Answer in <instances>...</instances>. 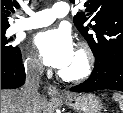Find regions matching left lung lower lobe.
<instances>
[{"label":"left lung lower lobe","instance_id":"1","mask_svg":"<svg viewBox=\"0 0 123 113\" xmlns=\"http://www.w3.org/2000/svg\"><path fill=\"white\" fill-rule=\"evenodd\" d=\"M103 89L123 91V54L112 57L104 66L95 62L90 77L70 88L73 92H93Z\"/></svg>","mask_w":123,"mask_h":113}]
</instances>
